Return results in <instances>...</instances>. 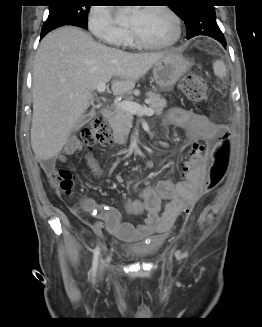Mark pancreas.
<instances>
[{
  "label": "pancreas",
  "mask_w": 262,
  "mask_h": 327,
  "mask_svg": "<svg viewBox=\"0 0 262 327\" xmlns=\"http://www.w3.org/2000/svg\"><path fill=\"white\" fill-rule=\"evenodd\" d=\"M148 105L153 109L154 113L157 115L162 114L163 109L166 107L167 102L161 95L148 92ZM133 114L121 109L115 108L113 112V117L110 120V126L113 130V137L116 143L121 145L125 144L132 128Z\"/></svg>",
  "instance_id": "obj_1"
}]
</instances>
